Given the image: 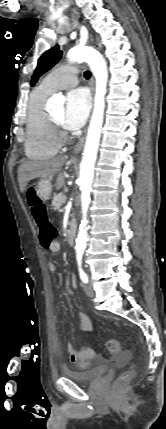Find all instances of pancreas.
Returning <instances> with one entry per match:
<instances>
[{
	"label": "pancreas",
	"instance_id": "cf45deb5",
	"mask_svg": "<svg viewBox=\"0 0 166 429\" xmlns=\"http://www.w3.org/2000/svg\"><path fill=\"white\" fill-rule=\"evenodd\" d=\"M65 195L63 193H59L57 195L54 196L53 200H52V206L54 207L55 210L60 209L61 205H62V200L63 197Z\"/></svg>",
	"mask_w": 166,
	"mask_h": 429
}]
</instances>
